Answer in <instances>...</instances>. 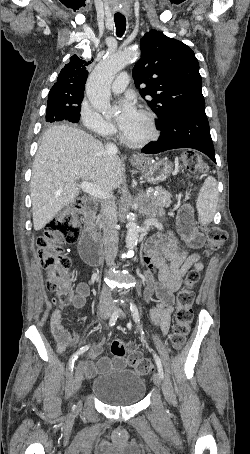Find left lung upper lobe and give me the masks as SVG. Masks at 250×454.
I'll list each match as a JSON object with an SVG mask.
<instances>
[{"mask_svg": "<svg viewBox=\"0 0 250 454\" xmlns=\"http://www.w3.org/2000/svg\"><path fill=\"white\" fill-rule=\"evenodd\" d=\"M141 58L133 68L135 85L156 113V127L188 111L205 110L199 63L190 47L156 30L141 40ZM146 96V97H145Z\"/></svg>", "mask_w": 250, "mask_h": 454, "instance_id": "1", "label": "left lung upper lobe"}]
</instances>
